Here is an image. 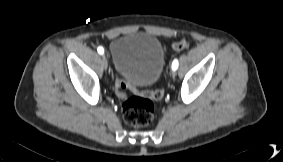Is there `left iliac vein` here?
<instances>
[{
  "instance_id": "1",
  "label": "left iliac vein",
  "mask_w": 283,
  "mask_h": 162,
  "mask_svg": "<svg viewBox=\"0 0 283 162\" xmlns=\"http://www.w3.org/2000/svg\"><path fill=\"white\" fill-rule=\"evenodd\" d=\"M176 75L175 70L172 71V76L174 77Z\"/></svg>"
}]
</instances>
